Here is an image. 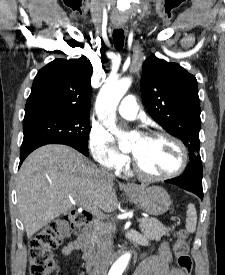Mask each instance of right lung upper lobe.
<instances>
[{
    "mask_svg": "<svg viewBox=\"0 0 225 275\" xmlns=\"http://www.w3.org/2000/svg\"><path fill=\"white\" fill-rule=\"evenodd\" d=\"M89 60L56 59L40 69L25 106V116L39 113H89L91 75Z\"/></svg>",
    "mask_w": 225,
    "mask_h": 275,
    "instance_id": "cb5924a9",
    "label": "right lung upper lobe"
}]
</instances>
